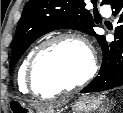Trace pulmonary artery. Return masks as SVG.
<instances>
[{
    "mask_svg": "<svg viewBox=\"0 0 123 113\" xmlns=\"http://www.w3.org/2000/svg\"><path fill=\"white\" fill-rule=\"evenodd\" d=\"M101 12L104 16H110V8L107 6L102 7Z\"/></svg>",
    "mask_w": 123,
    "mask_h": 113,
    "instance_id": "obj_1",
    "label": "pulmonary artery"
}]
</instances>
